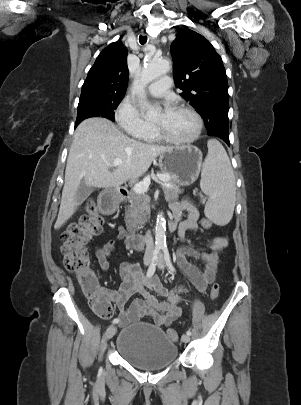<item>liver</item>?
<instances>
[{
  "mask_svg": "<svg viewBox=\"0 0 301 405\" xmlns=\"http://www.w3.org/2000/svg\"><path fill=\"white\" fill-rule=\"evenodd\" d=\"M170 148L131 139L105 118L84 120L75 130L67 158L55 228L59 229L75 213L80 183L97 188L118 187L141 177L155 158ZM115 158H120L122 164L111 171Z\"/></svg>",
  "mask_w": 301,
  "mask_h": 405,
  "instance_id": "obj_1",
  "label": "liver"
}]
</instances>
